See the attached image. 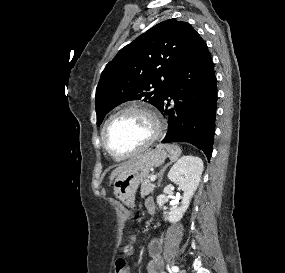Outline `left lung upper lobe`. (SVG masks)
Returning a JSON list of instances; mask_svg holds the SVG:
<instances>
[{
    "mask_svg": "<svg viewBox=\"0 0 285 273\" xmlns=\"http://www.w3.org/2000/svg\"><path fill=\"white\" fill-rule=\"evenodd\" d=\"M194 31L187 22L169 19L122 48L102 72L96 89L97 125L129 100L143 99L158 108Z\"/></svg>",
    "mask_w": 285,
    "mask_h": 273,
    "instance_id": "1",
    "label": "left lung upper lobe"
}]
</instances>
